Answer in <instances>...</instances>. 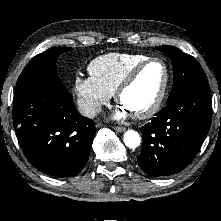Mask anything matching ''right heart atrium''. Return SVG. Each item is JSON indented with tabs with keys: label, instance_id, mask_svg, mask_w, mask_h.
Returning a JSON list of instances; mask_svg holds the SVG:
<instances>
[{
	"label": "right heart atrium",
	"instance_id": "1",
	"mask_svg": "<svg viewBox=\"0 0 221 221\" xmlns=\"http://www.w3.org/2000/svg\"><path fill=\"white\" fill-rule=\"evenodd\" d=\"M73 89L80 112L89 118L96 116L111 98V95L90 76H77L74 80Z\"/></svg>",
	"mask_w": 221,
	"mask_h": 221
}]
</instances>
